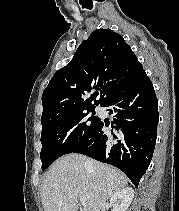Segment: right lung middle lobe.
Listing matches in <instances>:
<instances>
[{
    "mask_svg": "<svg viewBox=\"0 0 179 211\" xmlns=\"http://www.w3.org/2000/svg\"><path fill=\"white\" fill-rule=\"evenodd\" d=\"M89 112H92L90 117ZM94 114V108H91L57 117L42 127V170L89 140L101 121Z\"/></svg>",
    "mask_w": 179,
    "mask_h": 211,
    "instance_id": "dd1d6c3e",
    "label": "right lung middle lobe"
}]
</instances>
